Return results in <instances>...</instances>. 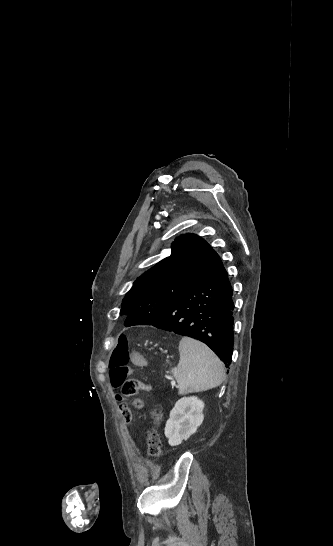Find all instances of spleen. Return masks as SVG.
<instances>
[{
  "label": "spleen",
  "instance_id": "1",
  "mask_svg": "<svg viewBox=\"0 0 333 546\" xmlns=\"http://www.w3.org/2000/svg\"><path fill=\"white\" fill-rule=\"evenodd\" d=\"M180 360L171 370L179 394L200 392L222 384L225 369L221 360L206 345L190 337L179 343Z\"/></svg>",
  "mask_w": 333,
  "mask_h": 546
}]
</instances>
